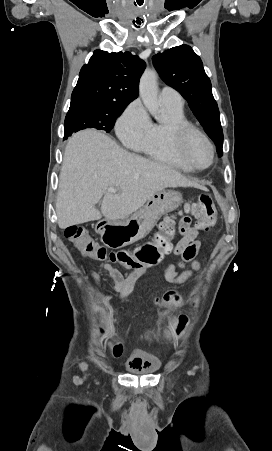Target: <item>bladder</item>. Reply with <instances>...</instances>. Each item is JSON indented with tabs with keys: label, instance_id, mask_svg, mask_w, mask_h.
I'll use <instances>...</instances> for the list:
<instances>
[{
	"label": "bladder",
	"instance_id": "1",
	"mask_svg": "<svg viewBox=\"0 0 272 451\" xmlns=\"http://www.w3.org/2000/svg\"><path fill=\"white\" fill-rule=\"evenodd\" d=\"M132 364H136L140 368L133 367ZM126 366L132 374L151 373L160 369L161 360L145 349H137L128 355Z\"/></svg>",
	"mask_w": 272,
	"mask_h": 451
}]
</instances>
